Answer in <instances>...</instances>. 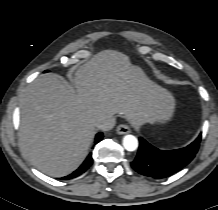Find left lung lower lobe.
Instances as JSON below:
<instances>
[{
    "mask_svg": "<svg viewBox=\"0 0 218 210\" xmlns=\"http://www.w3.org/2000/svg\"><path fill=\"white\" fill-rule=\"evenodd\" d=\"M201 134L187 147L176 150H159L143 138H139L138 154L132 168L144 176L165 178L185 167L198 151Z\"/></svg>",
    "mask_w": 218,
    "mask_h": 210,
    "instance_id": "1",
    "label": "left lung lower lobe"
}]
</instances>
